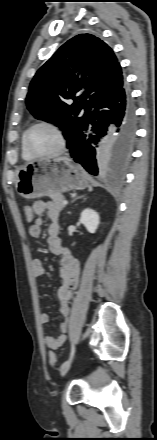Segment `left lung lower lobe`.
I'll return each mask as SVG.
<instances>
[{"instance_id": "1", "label": "left lung lower lobe", "mask_w": 157, "mask_h": 440, "mask_svg": "<svg viewBox=\"0 0 157 440\" xmlns=\"http://www.w3.org/2000/svg\"><path fill=\"white\" fill-rule=\"evenodd\" d=\"M135 128L133 101L123 86L91 111L71 139L70 155L92 175L117 174L129 158Z\"/></svg>"}]
</instances>
